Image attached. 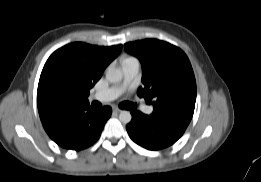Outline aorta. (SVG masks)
Here are the masks:
<instances>
[{"label": "aorta", "instance_id": "aorta-1", "mask_svg": "<svg viewBox=\"0 0 261 182\" xmlns=\"http://www.w3.org/2000/svg\"><path fill=\"white\" fill-rule=\"evenodd\" d=\"M123 74L122 71L118 68H113V69H109L106 72V79L110 82V83H119L122 80ZM132 116L131 113L129 111H121L119 114V120L123 123V124H127L131 121Z\"/></svg>", "mask_w": 261, "mask_h": 182}]
</instances>
